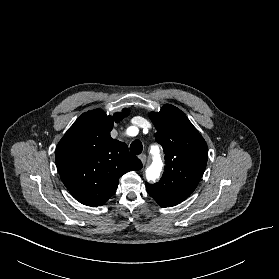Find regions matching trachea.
<instances>
[{
	"label": "trachea",
	"mask_w": 279,
	"mask_h": 279,
	"mask_svg": "<svg viewBox=\"0 0 279 279\" xmlns=\"http://www.w3.org/2000/svg\"><path fill=\"white\" fill-rule=\"evenodd\" d=\"M143 150V145L140 141L136 140L134 142L131 143L130 145V151L133 153V154H140Z\"/></svg>",
	"instance_id": "trachea-1"
}]
</instances>
